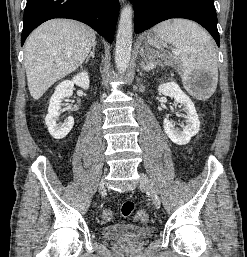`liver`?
Listing matches in <instances>:
<instances>
[{"mask_svg": "<svg viewBox=\"0 0 247 257\" xmlns=\"http://www.w3.org/2000/svg\"><path fill=\"white\" fill-rule=\"evenodd\" d=\"M95 34L89 26L70 19L49 20L30 34L24 63L33 99L38 100L83 63L95 43Z\"/></svg>", "mask_w": 247, "mask_h": 257, "instance_id": "6515ba94", "label": "liver"}]
</instances>
